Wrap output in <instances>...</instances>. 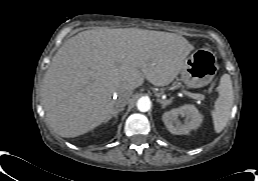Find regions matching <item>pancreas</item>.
<instances>
[{
  "label": "pancreas",
  "mask_w": 258,
  "mask_h": 181,
  "mask_svg": "<svg viewBox=\"0 0 258 181\" xmlns=\"http://www.w3.org/2000/svg\"><path fill=\"white\" fill-rule=\"evenodd\" d=\"M199 100H203L204 99V95L202 94H199V97H198Z\"/></svg>",
  "instance_id": "pancreas-1"
}]
</instances>
